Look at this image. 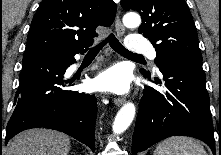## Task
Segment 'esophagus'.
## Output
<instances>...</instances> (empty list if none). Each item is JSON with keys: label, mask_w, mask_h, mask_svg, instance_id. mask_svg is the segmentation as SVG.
I'll use <instances>...</instances> for the list:
<instances>
[{"label": "esophagus", "mask_w": 221, "mask_h": 155, "mask_svg": "<svg viewBox=\"0 0 221 155\" xmlns=\"http://www.w3.org/2000/svg\"><path fill=\"white\" fill-rule=\"evenodd\" d=\"M115 30H116L117 35L119 37H122L125 33V28L120 20L119 14H117L116 18H115ZM114 103L117 106H121L122 104L125 103V99L124 98H114Z\"/></svg>", "instance_id": "34e87169"}]
</instances>
